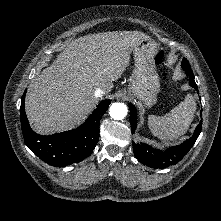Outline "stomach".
<instances>
[{
  "instance_id": "0dacf381",
  "label": "stomach",
  "mask_w": 221,
  "mask_h": 221,
  "mask_svg": "<svg viewBox=\"0 0 221 221\" xmlns=\"http://www.w3.org/2000/svg\"><path fill=\"white\" fill-rule=\"evenodd\" d=\"M156 42L147 36L133 51L135 67L130 77L127 95L139 99L146 107L156 103L160 82L154 66Z\"/></svg>"
}]
</instances>
